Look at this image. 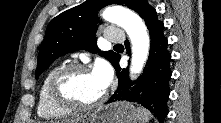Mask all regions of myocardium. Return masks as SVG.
<instances>
[{
    "label": "myocardium",
    "instance_id": "myocardium-1",
    "mask_svg": "<svg viewBox=\"0 0 221 123\" xmlns=\"http://www.w3.org/2000/svg\"><path fill=\"white\" fill-rule=\"evenodd\" d=\"M78 71H91L90 67L82 63H69L60 66L52 75L49 82V95L51 100L60 108L72 111H91L99 108L107 99V90L93 103H81L68 97L63 90L64 80L72 73Z\"/></svg>",
    "mask_w": 221,
    "mask_h": 123
}]
</instances>
